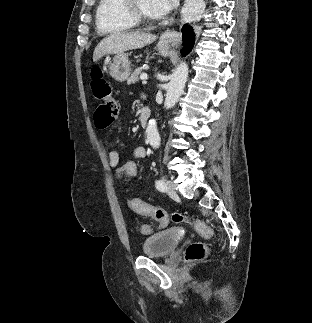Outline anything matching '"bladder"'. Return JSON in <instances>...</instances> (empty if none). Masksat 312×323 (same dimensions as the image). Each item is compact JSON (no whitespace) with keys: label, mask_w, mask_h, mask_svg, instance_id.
Returning <instances> with one entry per match:
<instances>
[{"label":"bladder","mask_w":312,"mask_h":323,"mask_svg":"<svg viewBox=\"0 0 312 323\" xmlns=\"http://www.w3.org/2000/svg\"><path fill=\"white\" fill-rule=\"evenodd\" d=\"M180 242L177 229H169L161 233L150 235L143 241L142 252L146 257L162 258L175 251V246Z\"/></svg>","instance_id":"1"}]
</instances>
